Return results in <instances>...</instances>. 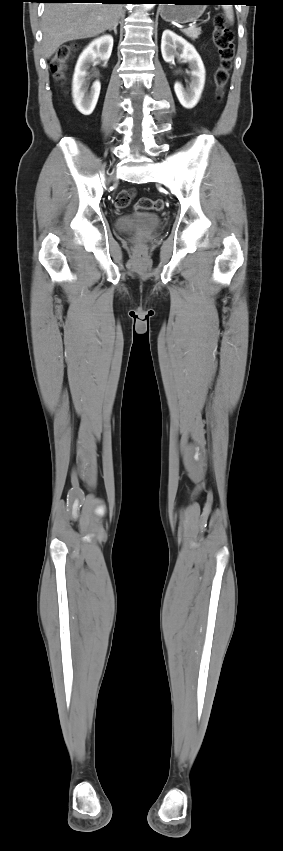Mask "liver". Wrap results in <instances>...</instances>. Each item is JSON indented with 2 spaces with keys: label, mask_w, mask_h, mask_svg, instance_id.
Listing matches in <instances>:
<instances>
[{
  "label": "liver",
  "mask_w": 283,
  "mask_h": 851,
  "mask_svg": "<svg viewBox=\"0 0 283 851\" xmlns=\"http://www.w3.org/2000/svg\"><path fill=\"white\" fill-rule=\"evenodd\" d=\"M122 12L120 4H46L42 17L44 57L49 59L66 42L95 37L113 28Z\"/></svg>",
  "instance_id": "liver-1"
}]
</instances>
